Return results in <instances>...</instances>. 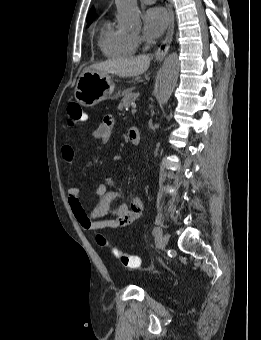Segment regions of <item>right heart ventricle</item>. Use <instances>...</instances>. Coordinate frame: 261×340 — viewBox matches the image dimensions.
I'll return each mask as SVG.
<instances>
[{
	"instance_id": "right-heart-ventricle-1",
	"label": "right heart ventricle",
	"mask_w": 261,
	"mask_h": 340,
	"mask_svg": "<svg viewBox=\"0 0 261 340\" xmlns=\"http://www.w3.org/2000/svg\"><path fill=\"white\" fill-rule=\"evenodd\" d=\"M98 45L106 57L122 58L132 56L136 52L138 41L134 35L116 28L107 20L101 27Z\"/></svg>"
}]
</instances>
